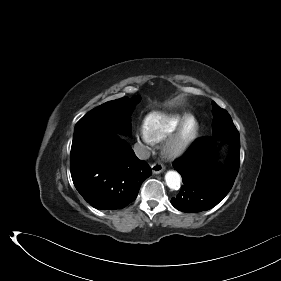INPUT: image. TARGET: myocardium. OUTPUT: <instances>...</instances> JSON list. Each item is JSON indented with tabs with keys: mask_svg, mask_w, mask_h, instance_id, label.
<instances>
[{
	"mask_svg": "<svg viewBox=\"0 0 281 281\" xmlns=\"http://www.w3.org/2000/svg\"><path fill=\"white\" fill-rule=\"evenodd\" d=\"M192 121L193 129L185 134L187 124ZM200 133V124L194 115L186 116L175 130L166 138L164 153L171 159L178 158L185 154L196 142Z\"/></svg>",
	"mask_w": 281,
	"mask_h": 281,
	"instance_id": "1",
	"label": "myocardium"
}]
</instances>
